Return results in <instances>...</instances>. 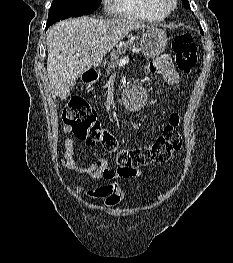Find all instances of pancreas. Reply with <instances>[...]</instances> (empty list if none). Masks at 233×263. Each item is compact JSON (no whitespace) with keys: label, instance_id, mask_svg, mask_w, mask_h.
<instances>
[{"label":"pancreas","instance_id":"1","mask_svg":"<svg viewBox=\"0 0 233 263\" xmlns=\"http://www.w3.org/2000/svg\"><path fill=\"white\" fill-rule=\"evenodd\" d=\"M136 47H138V42L135 40L128 41L124 43L123 46H117V49L115 51H112L110 54L111 59H110V62L108 63L107 71L110 72L115 69L120 56L124 54L126 49L136 48Z\"/></svg>","mask_w":233,"mask_h":263}]
</instances>
